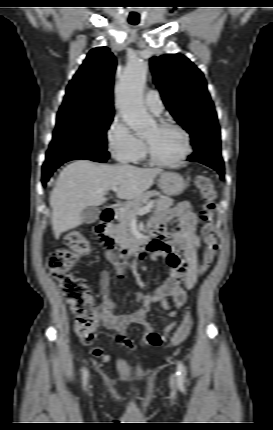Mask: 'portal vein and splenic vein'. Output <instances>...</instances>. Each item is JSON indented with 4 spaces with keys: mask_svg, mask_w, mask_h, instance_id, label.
Returning <instances> with one entry per match:
<instances>
[{
    "mask_svg": "<svg viewBox=\"0 0 273 430\" xmlns=\"http://www.w3.org/2000/svg\"><path fill=\"white\" fill-rule=\"evenodd\" d=\"M111 189H112L114 192H117V191H118V187H116V186L112 187ZM152 207H153V201H150L146 206H144L143 208L139 209V211L137 212V215L142 216V215H144V214H146V213L150 212V211H151V209H152ZM133 220H134V219H133Z\"/></svg>",
    "mask_w": 273,
    "mask_h": 430,
    "instance_id": "portal-vein-and-splenic-vein-1",
    "label": "portal vein and splenic vein"
}]
</instances>
